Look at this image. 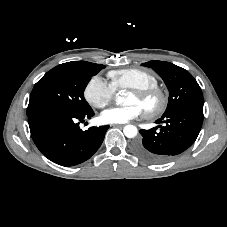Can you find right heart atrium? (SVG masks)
<instances>
[{"instance_id":"d8ad5b80","label":"right heart atrium","mask_w":227,"mask_h":227,"mask_svg":"<svg viewBox=\"0 0 227 227\" xmlns=\"http://www.w3.org/2000/svg\"><path fill=\"white\" fill-rule=\"evenodd\" d=\"M114 90L101 77H92L84 88L86 101L95 108L106 107L113 99Z\"/></svg>"}]
</instances>
